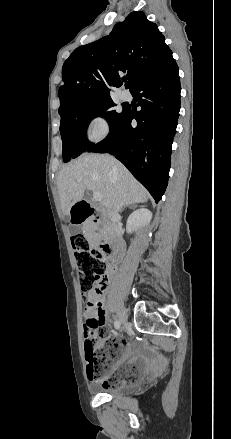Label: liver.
Masks as SVG:
<instances>
[{"instance_id":"6515ba94","label":"liver","mask_w":231,"mask_h":439,"mask_svg":"<svg viewBox=\"0 0 231 439\" xmlns=\"http://www.w3.org/2000/svg\"><path fill=\"white\" fill-rule=\"evenodd\" d=\"M61 208L65 215L79 202L86 189L102 195L101 206L118 212L123 206L146 202L145 188L126 167L110 155L85 154L64 167L57 179Z\"/></svg>"}]
</instances>
